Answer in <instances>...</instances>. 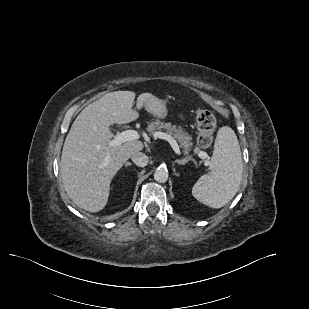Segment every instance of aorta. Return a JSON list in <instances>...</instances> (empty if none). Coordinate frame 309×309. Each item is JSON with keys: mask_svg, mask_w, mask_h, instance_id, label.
I'll return each instance as SVG.
<instances>
[{"mask_svg": "<svg viewBox=\"0 0 309 309\" xmlns=\"http://www.w3.org/2000/svg\"><path fill=\"white\" fill-rule=\"evenodd\" d=\"M168 170L165 167H158L154 172V179L159 183H164L168 180Z\"/></svg>", "mask_w": 309, "mask_h": 309, "instance_id": "obj_1", "label": "aorta"}]
</instances>
